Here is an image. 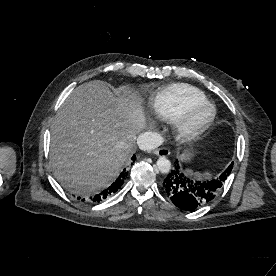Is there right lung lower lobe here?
Wrapping results in <instances>:
<instances>
[{
    "label": "right lung lower lobe",
    "instance_id": "1",
    "mask_svg": "<svg viewBox=\"0 0 276 276\" xmlns=\"http://www.w3.org/2000/svg\"><path fill=\"white\" fill-rule=\"evenodd\" d=\"M132 159L133 161H135V155L132 157ZM125 171L126 169L123 170V172L119 175V177H117V179L107 189L96 194L94 198H91V199H93L94 202H100L106 199L107 197L115 194L124 183Z\"/></svg>",
    "mask_w": 276,
    "mask_h": 276
}]
</instances>
